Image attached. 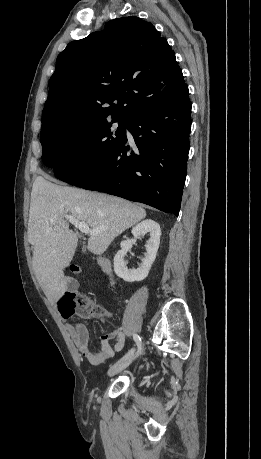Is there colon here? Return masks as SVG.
<instances>
[{
	"label": "colon",
	"mask_w": 261,
	"mask_h": 459,
	"mask_svg": "<svg viewBox=\"0 0 261 459\" xmlns=\"http://www.w3.org/2000/svg\"><path fill=\"white\" fill-rule=\"evenodd\" d=\"M81 265L72 263L70 270L73 273L81 272ZM59 310L64 318L78 315L83 318L108 317L107 311L95 302V300L83 293L74 292L67 294L59 305Z\"/></svg>",
	"instance_id": "5ec220e1"
}]
</instances>
